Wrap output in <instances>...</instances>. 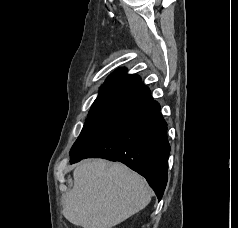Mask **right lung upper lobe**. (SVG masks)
<instances>
[{
  "label": "right lung upper lobe",
  "mask_w": 238,
  "mask_h": 228,
  "mask_svg": "<svg viewBox=\"0 0 238 228\" xmlns=\"http://www.w3.org/2000/svg\"><path fill=\"white\" fill-rule=\"evenodd\" d=\"M151 101L150 90L141 83V78L119 68L106 79L89 114L122 116Z\"/></svg>",
  "instance_id": "cb5924a9"
}]
</instances>
